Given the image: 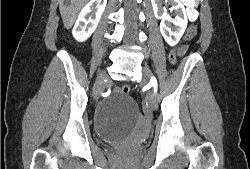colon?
<instances>
[{"label": "colon", "mask_w": 250, "mask_h": 169, "mask_svg": "<svg viewBox=\"0 0 250 169\" xmlns=\"http://www.w3.org/2000/svg\"><path fill=\"white\" fill-rule=\"evenodd\" d=\"M186 34L184 35V41L194 38L196 34V25L194 23H189V26L187 28ZM183 45V43H182ZM182 45H175L174 48L171 50L170 54H167V59H170V66H175V62L177 61L179 54V49L182 48ZM130 85H122V93H129Z\"/></svg>", "instance_id": "colon-1"}]
</instances>
